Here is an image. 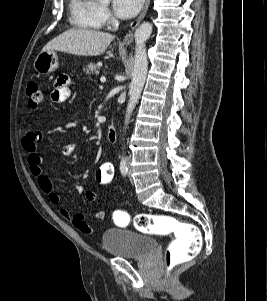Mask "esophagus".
I'll use <instances>...</instances> for the list:
<instances>
[{
    "label": "esophagus",
    "mask_w": 267,
    "mask_h": 301,
    "mask_svg": "<svg viewBox=\"0 0 267 301\" xmlns=\"http://www.w3.org/2000/svg\"><path fill=\"white\" fill-rule=\"evenodd\" d=\"M149 4H150V0H146L140 15L138 16V18L135 21H133L131 23V31L123 39V44L124 45H129L130 43H132V41H133V31L140 24V22L143 20V18L145 17V15L147 13V10H148V7H149Z\"/></svg>",
    "instance_id": "34e87169"
}]
</instances>
